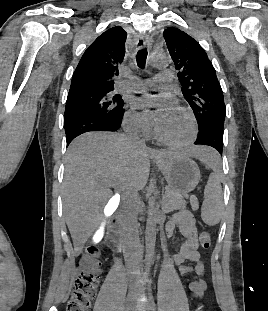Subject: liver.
<instances>
[{
	"instance_id": "liver-1",
	"label": "liver",
	"mask_w": 268,
	"mask_h": 311,
	"mask_svg": "<svg viewBox=\"0 0 268 311\" xmlns=\"http://www.w3.org/2000/svg\"><path fill=\"white\" fill-rule=\"evenodd\" d=\"M204 148L191 149L200 158ZM172 150L148 151L119 133L88 132L68 147L63 181L64 217L79 255L99 226L112 197L110 187L128 192L142 190L148 180L150 159H170ZM111 182V183H110ZM110 183V184H109Z\"/></svg>"
}]
</instances>
